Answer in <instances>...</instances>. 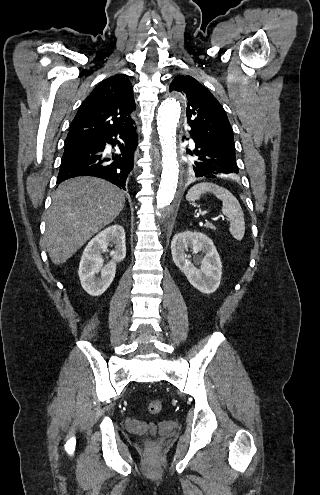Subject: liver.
<instances>
[{"instance_id":"1","label":"liver","mask_w":320,"mask_h":495,"mask_svg":"<svg viewBox=\"0 0 320 495\" xmlns=\"http://www.w3.org/2000/svg\"><path fill=\"white\" fill-rule=\"evenodd\" d=\"M124 193L115 185L92 177L62 182L47 212L44 242L56 265L66 262L95 233L122 211Z\"/></svg>"}]
</instances>
